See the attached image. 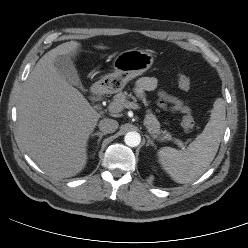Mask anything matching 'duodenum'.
Segmentation results:
<instances>
[{
  "instance_id": "410a0bca",
  "label": "duodenum",
  "mask_w": 248,
  "mask_h": 248,
  "mask_svg": "<svg viewBox=\"0 0 248 248\" xmlns=\"http://www.w3.org/2000/svg\"><path fill=\"white\" fill-rule=\"evenodd\" d=\"M93 97L97 100L98 99V94L97 92L93 94Z\"/></svg>"
}]
</instances>
